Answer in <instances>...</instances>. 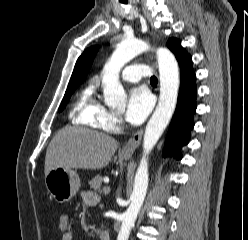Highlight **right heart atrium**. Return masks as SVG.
Wrapping results in <instances>:
<instances>
[{"mask_svg": "<svg viewBox=\"0 0 248 240\" xmlns=\"http://www.w3.org/2000/svg\"><path fill=\"white\" fill-rule=\"evenodd\" d=\"M120 124L121 118L117 114L105 109L98 118V125L106 131L117 130Z\"/></svg>", "mask_w": 248, "mask_h": 240, "instance_id": "1", "label": "right heart atrium"}]
</instances>
